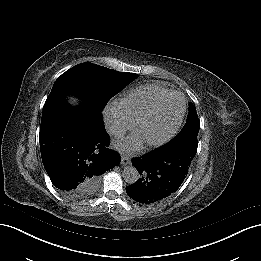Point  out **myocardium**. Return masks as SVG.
Wrapping results in <instances>:
<instances>
[{
    "mask_svg": "<svg viewBox=\"0 0 261 261\" xmlns=\"http://www.w3.org/2000/svg\"><path fill=\"white\" fill-rule=\"evenodd\" d=\"M176 99H180L181 104H182V109H181V113L180 116L176 122V124L163 136L156 138V139H144L138 136L137 134V130H138V126L141 122V120L146 117V116H150V115H154L160 111L165 110L169 105H171ZM186 99L183 95L180 94H176V95H172L170 98H168L167 100L155 105L152 109H150L149 111L143 113V115H141V117H139L133 124L132 128H131V133H130V137H132L136 143H137V148H141L143 146H157V145H161L163 143H165L166 141H168L176 132L177 130L180 128L185 113H186Z\"/></svg>",
    "mask_w": 261,
    "mask_h": 261,
    "instance_id": "1",
    "label": "myocardium"
}]
</instances>
